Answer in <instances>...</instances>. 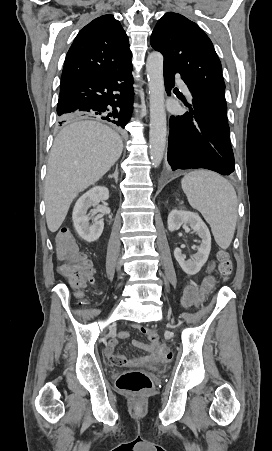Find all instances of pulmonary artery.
I'll return each instance as SVG.
<instances>
[{"label": "pulmonary artery", "instance_id": "pulmonary-artery-1", "mask_svg": "<svg viewBox=\"0 0 272 451\" xmlns=\"http://www.w3.org/2000/svg\"><path fill=\"white\" fill-rule=\"evenodd\" d=\"M178 78L180 80H178L176 82V85L178 86L177 90H178V92L182 93L184 99L188 101L191 99L192 96H191L189 90L187 89L186 82H185V80L182 79L183 77L181 75Z\"/></svg>", "mask_w": 272, "mask_h": 451}]
</instances>
